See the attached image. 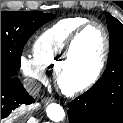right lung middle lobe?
Segmentation results:
<instances>
[{"mask_svg":"<svg viewBox=\"0 0 123 123\" xmlns=\"http://www.w3.org/2000/svg\"><path fill=\"white\" fill-rule=\"evenodd\" d=\"M54 18L40 11H1V76H16L27 40Z\"/></svg>","mask_w":123,"mask_h":123,"instance_id":"obj_1","label":"right lung middle lobe"}]
</instances>
